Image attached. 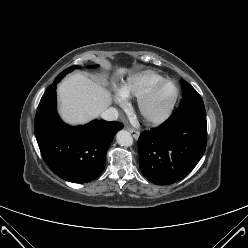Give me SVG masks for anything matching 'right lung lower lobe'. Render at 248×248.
I'll return each instance as SVG.
<instances>
[{
    "instance_id": "1",
    "label": "right lung lower lobe",
    "mask_w": 248,
    "mask_h": 248,
    "mask_svg": "<svg viewBox=\"0 0 248 248\" xmlns=\"http://www.w3.org/2000/svg\"><path fill=\"white\" fill-rule=\"evenodd\" d=\"M119 122L94 120L71 127L56 112V92L41 99L34 123L35 136L48 167L69 182L86 183L97 178L105 167L106 152Z\"/></svg>"
}]
</instances>
